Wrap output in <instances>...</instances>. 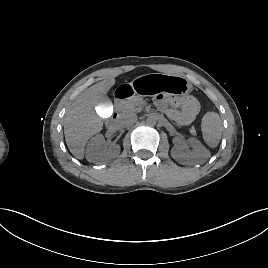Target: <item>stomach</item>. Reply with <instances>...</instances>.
Returning <instances> with one entry per match:
<instances>
[{
    "label": "stomach",
    "instance_id": "stomach-1",
    "mask_svg": "<svg viewBox=\"0 0 268 268\" xmlns=\"http://www.w3.org/2000/svg\"><path fill=\"white\" fill-rule=\"evenodd\" d=\"M129 85L138 96H150L157 93L187 95L193 90L192 84L185 77L164 73H148L138 76Z\"/></svg>",
    "mask_w": 268,
    "mask_h": 268
}]
</instances>
